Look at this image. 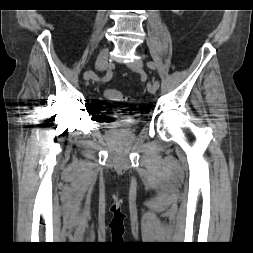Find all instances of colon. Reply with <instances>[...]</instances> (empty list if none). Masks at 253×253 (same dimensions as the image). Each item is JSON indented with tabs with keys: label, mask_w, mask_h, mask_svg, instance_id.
Wrapping results in <instances>:
<instances>
[{
	"label": "colon",
	"mask_w": 253,
	"mask_h": 253,
	"mask_svg": "<svg viewBox=\"0 0 253 253\" xmlns=\"http://www.w3.org/2000/svg\"><path fill=\"white\" fill-rule=\"evenodd\" d=\"M105 97L109 100L118 101V102L126 100L122 92L114 90V89H107L105 91Z\"/></svg>",
	"instance_id": "1"
}]
</instances>
